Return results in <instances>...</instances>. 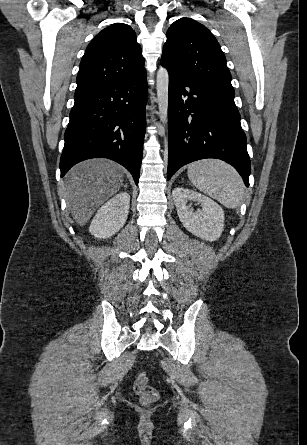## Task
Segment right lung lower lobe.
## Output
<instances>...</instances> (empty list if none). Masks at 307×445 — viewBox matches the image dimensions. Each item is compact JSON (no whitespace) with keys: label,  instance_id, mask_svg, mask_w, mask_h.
Masks as SVG:
<instances>
[{"label":"right lung lower lobe","instance_id":"98d812e1","mask_svg":"<svg viewBox=\"0 0 307 445\" xmlns=\"http://www.w3.org/2000/svg\"><path fill=\"white\" fill-rule=\"evenodd\" d=\"M146 71L123 81L75 92L61 177L76 163L106 157L127 168L138 184L146 127Z\"/></svg>","mask_w":307,"mask_h":445}]
</instances>
